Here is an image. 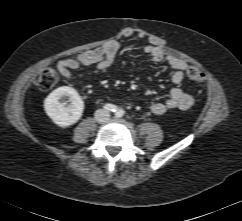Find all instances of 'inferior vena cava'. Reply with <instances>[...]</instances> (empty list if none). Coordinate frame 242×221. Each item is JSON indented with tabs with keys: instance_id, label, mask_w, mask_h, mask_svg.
<instances>
[{
	"instance_id": "obj_1",
	"label": "inferior vena cava",
	"mask_w": 242,
	"mask_h": 221,
	"mask_svg": "<svg viewBox=\"0 0 242 221\" xmlns=\"http://www.w3.org/2000/svg\"><path fill=\"white\" fill-rule=\"evenodd\" d=\"M110 114L109 111L105 109H98L95 112V119L98 122H107L109 120Z\"/></svg>"
}]
</instances>
